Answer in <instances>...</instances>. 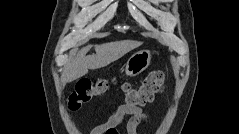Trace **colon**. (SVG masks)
I'll list each match as a JSON object with an SVG mask.
<instances>
[{
	"label": "colon",
	"mask_w": 239,
	"mask_h": 134,
	"mask_svg": "<svg viewBox=\"0 0 239 134\" xmlns=\"http://www.w3.org/2000/svg\"><path fill=\"white\" fill-rule=\"evenodd\" d=\"M109 87V81L105 78L91 80L81 78L75 90L68 100V107L71 111L79 110L84 104L90 102L94 97L104 93ZM165 88V77L161 71H153L142 81L139 88L134 89L129 83L122 85L126 101L129 105L144 106L153 101L157 93L163 92Z\"/></svg>",
	"instance_id": "1"
}]
</instances>
